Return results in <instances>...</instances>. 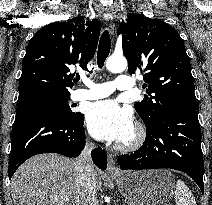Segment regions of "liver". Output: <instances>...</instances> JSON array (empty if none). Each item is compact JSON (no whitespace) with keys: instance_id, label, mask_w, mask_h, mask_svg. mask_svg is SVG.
<instances>
[{"instance_id":"obj_1","label":"liver","mask_w":212,"mask_h":205,"mask_svg":"<svg viewBox=\"0 0 212 205\" xmlns=\"http://www.w3.org/2000/svg\"><path fill=\"white\" fill-rule=\"evenodd\" d=\"M75 162L58 154H40L24 162L11 180L14 205H78ZM96 190H101L95 172Z\"/></svg>"}]
</instances>
